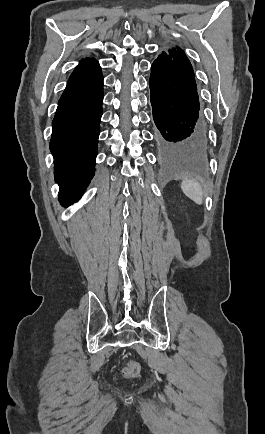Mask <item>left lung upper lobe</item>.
Returning <instances> with one entry per match:
<instances>
[{"label":"left lung upper lobe","instance_id":"1","mask_svg":"<svg viewBox=\"0 0 265 434\" xmlns=\"http://www.w3.org/2000/svg\"><path fill=\"white\" fill-rule=\"evenodd\" d=\"M162 54L167 55L174 59L188 74L189 76L196 82L195 80V74L193 71V67L188 60L186 54L184 51L179 48L178 46L176 48L170 49L168 52H162Z\"/></svg>","mask_w":265,"mask_h":434}]
</instances>
